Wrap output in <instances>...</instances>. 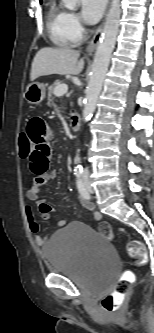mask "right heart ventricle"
<instances>
[{
	"label": "right heart ventricle",
	"instance_id": "1",
	"mask_svg": "<svg viewBox=\"0 0 154 333\" xmlns=\"http://www.w3.org/2000/svg\"><path fill=\"white\" fill-rule=\"evenodd\" d=\"M67 12L57 3H52L47 15V30L53 43L68 47L75 43L67 28Z\"/></svg>",
	"mask_w": 154,
	"mask_h": 333
}]
</instances>
